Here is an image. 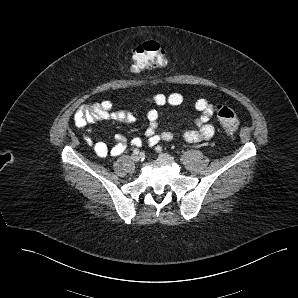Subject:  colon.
<instances>
[{
    "instance_id": "5ec220e1",
    "label": "colon",
    "mask_w": 298,
    "mask_h": 298,
    "mask_svg": "<svg viewBox=\"0 0 298 298\" xmlns=\"http://www.w3.org/2000/svg\"><path fill=\"white\" fill-rule=\"evenodd\" d=\"M131 60V67L134 72H141L150 67H165L167 65L165 51L155 41H147L136 46L132 50ZM215 111L224 131L229 136H233L239 127V120L234 110L224 104H217Z\"/></svg>"
}]
</instances>
